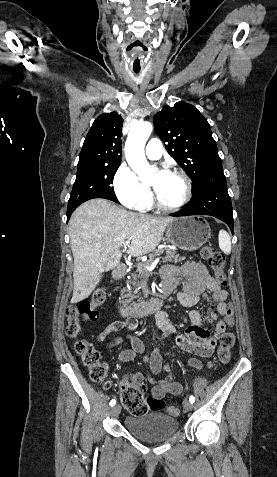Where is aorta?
<instances>
[{
	"label": "aorta",
	"mask_w": 277,
	"mask_h": 477,
	"mask_svg": "<svg viewBox=\"0 0 277 477\" xmlns=\"http://www.w3.org/2000/svg\"><path fill=\"white\" fill-rule=\"evenodd\" d=\"M153 130L149 122H136L131 125L125 144V156L129 166L143 182L153 180V172L146 160L144 147Z\"/></svg>",
	"instance_id": "1"
}]
</instances>
